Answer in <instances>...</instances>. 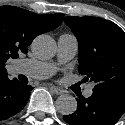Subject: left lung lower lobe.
Instances as JSON below:
<instances>
[{
	"label": "left lung lower lobe",
	"mask_w": 125,
	"mask_h": 125,
	"mask_svg": "<svg viewBox=\"0 0 125 125\" xmlns=\"http://www.w3.org/2000/svg\"><path fill=\"white\" fill-rule=\"evenodd\" d=\"M125 112V92L93 90L89 98L77 99V110L63 119L70 125H114Z\"/></svg>",
	"instance_id": "obj_1"
}]
</instances>
